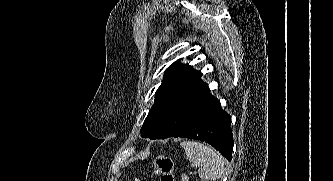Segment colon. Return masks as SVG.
<instances>
[{"instance_id": "obj_1", "label": "colon", "mask_w": 333, "mask_h": 181, "mask_svg": "<svg viewBox=\"0 0 333 181\" xmlns=\"http://www.w3.org/2000/svg\"><path fill=\"white\" fill-rule=\"evenodd\" d=\"M152 165L160 175V181H176L174 174V160L170 156H156L152 160Z\"/></svg>"}]
</instances>
